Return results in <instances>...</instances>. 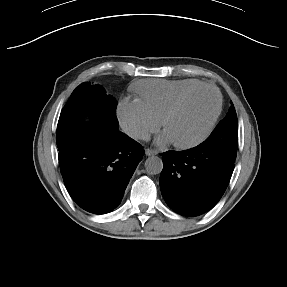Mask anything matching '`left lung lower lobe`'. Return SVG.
<instances>
[{"mask_svg":"<svg viewBox=\"0 0 287 287\" xmlns=\"http://www.w3.org/2000/svg\"><path fill=\"white\" fill-rule=\"evenodd\" d=\"M160 188L167 205L185 216L210 210L224 194L234 170L223 150L207 144L163 153Z\"/></svg>","mask_w":287,"mask_h":287,"instance_id":"1","label":"left lung lower lobe"}]
</instances>
